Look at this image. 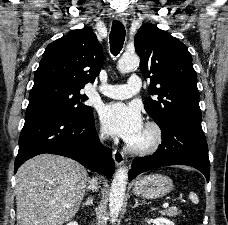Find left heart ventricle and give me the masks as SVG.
Masks as SVG:
<instances>
[{"mask_svg":"<svg viewBox=\"0 0 228 225\" xmlns=\"http://www.w3.org/2000/svg\"><path fill=\"white\" fill-rule=\"evenodd\" d=\"M148 142H149V137L145 133V131L143 130L141 136L135 142H133V143L136 144V145H145Z\"/></svg>","mask_w":228,"mask_h":225,"instance_id":"left-heart-ventricle-1","label":"left heart ventricle"}]
</instances>
